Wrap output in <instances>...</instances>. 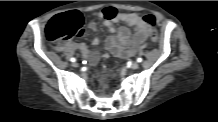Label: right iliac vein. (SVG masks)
<instances>
[{"instance_id": "63e3f726", "label": "right iliac vein", "mask_w": 218, "mask_h": 122, "mask_svg": "<svg viewBox=\"0 0 218 122\" xmlns=\"http://www.w3.org/2000/svg\"><path fill=\"white\" fill-rule=\"evenodd\" d=\"M72 66H73V67H78L79 65H78V63L73 62Z\"/></svg>"}]
</instances>
